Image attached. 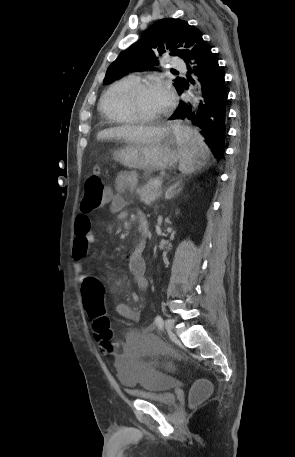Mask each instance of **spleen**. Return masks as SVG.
I'll return each mask as SVG.
<instances>
[{
  "label": "spleen",
  "mask_w": 295,
  "mask_h": 457,
  "mask_svg": "<svg viewBox=\"0 0 295 457\" xmlns=\"http://www.w3.org/2000/svg\"><path fill=\"white\" fill-rule=\"evenodd\" d=\"M174 130L179 145V170L182 173H192L204 165L210 151L197 131L179 125H175Z\"/></svg>",
  "instance_id": "3e777b00"
}]
</instances>
